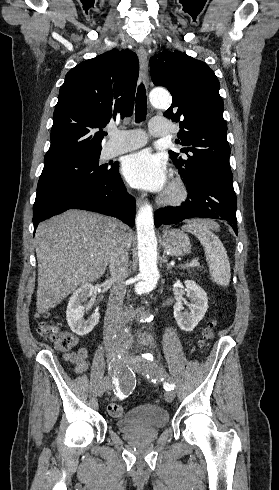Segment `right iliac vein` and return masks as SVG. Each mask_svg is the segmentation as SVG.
Listing matches in <instances>:
<instances>
[{
    "mask_svg": "<svg viewBox=\"0 0 279 490\" xmlns=\"http://www.w3.org/2000/svg\"><path fill=\"white\" fill-rule=\"evenodd\" d=\"M117 355L116 354H112V353H109L108 355V360L110 362V364L115 368L117 366ZM111 386V377H105L103 379V381L100 383V388H99V391H98V395L99 396H102L104 391L106 389H109Z\"/></svg>",
    "mask_w": 279,
    "mask_h": 490,
    "instance_id": "obj_1",
    "label": "right iliac vein"
}]
</instances>
